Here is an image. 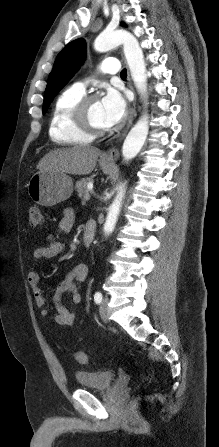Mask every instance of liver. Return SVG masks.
Listing matches in <instances>:
<instances>
[{
    "instance_id": "liver-1",
    "label": "liver",
    "mask_w": 219,
    "mask_h": 447,
    "mask_svg": "<svg viewBox=\"0 0 219 447\" xmlns=\"http://www.w3.org/2000/svg\"><path fill=\"white\" fill-rule=\"evenodd\" d=\"M100 155L101 151L98 148L89 146L55 149L39 161L37 169L87 175L95 168Z\"/></svg>"
}]
</instances>
